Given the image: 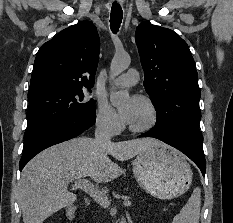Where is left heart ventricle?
Masks as SVG:
<instances>
[{"label":"left heart ventricle","instance_id":"b2bd125f","mask_svg":"<svg viewBox=\"0 0 233 223\" xmlns=\"http://www.w3.org/2000/svg\"><path fill=\"white\" fill-rule=\"evenodd\" d=\"M138 112L134 121L130 124L135 127H146L152 121V115L149 108L142 100H138Z\"/></svg>","mask_w":233,"mask_h":223}]
</instances>
